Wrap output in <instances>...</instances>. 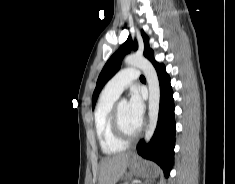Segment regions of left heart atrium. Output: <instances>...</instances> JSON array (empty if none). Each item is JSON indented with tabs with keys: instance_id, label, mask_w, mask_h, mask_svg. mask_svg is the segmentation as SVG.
I'll return each instance as SVG.
<instances>
[{
	"instance_id": "1",
	"label": "left heart atrium",
	"mask_w": 235,
	"mask_h": 184,
	"mask_svg": "<svg viewBox=\"0 0 235 184\" xmlns=\"http://www.w3.org/2000/svg\"><path fill=\"white\" fill-rule=\"evenodd\" d=\"M127 105H128L130 116L133 118V120L137 124L141 126L143 122V115H144V103L137 90H132L130 94V99Z\"/></svg>"
}]
</instances>
